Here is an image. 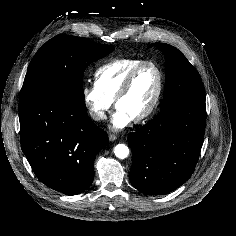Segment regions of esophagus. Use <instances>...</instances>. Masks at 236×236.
Returning a JSON list of instances; mask_svg holds the SVG:
<instances>
[{"label": "esophagus", "instance_id": "obj_1", "mask_svg": "<svg viewBox=\"0 0 236 236\" xmlns=\"http://www.w3.org/2000/svg\"><path fill=\"white\" fill-rule=\"evenodd\" d=\"M110 141H115L117 139V136L115 134L110 133L108 135Z\"/></svg>", "mask_w": 236, "mask_h": 236}]
</instances>
